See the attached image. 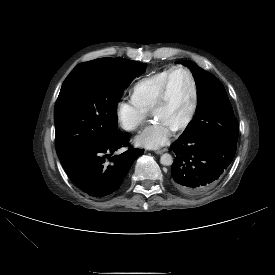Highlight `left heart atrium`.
Returning a JSON list of instances; mask_svg holds the SVG:
<instances>
[{"label": "left heart atrium", "instance_id": "39dd6f15", "mask_svg": "<svg viewBox=\"0 0 275 275\" xmlns=\"http://www.w3.org/2000/svg\"><path fill=\"white\" fill-rule=\"evenodd\" d=\"M174 129L159 119H154L136 137L135 143L144 148L156 149L170 140Z\"/></svg>", "mask_w": 275, "mask_h": 275}]
</instances>
